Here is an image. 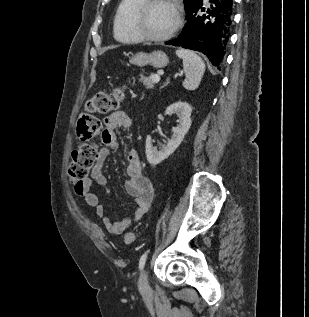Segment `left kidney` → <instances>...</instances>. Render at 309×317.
I'll list each match as a JSON object with an SVG mask.
<instances>
[{
	"label": "left kidney",
	"mask_w": 309,
	"mask_h": 317,
	"mask_svg": "<svg viewBox=\"0 0 309 317\" xmlns=\"http://www.w3.org/2000/svg\"><path fill=\"white\" fill-rule=\"evenodd\" d=\"M167 115L176 114L179 117V125L173 128V135L171 139L162 146L160 150H157L152 145L151 136L146 138V158L149 164L156 166L164 159L168 158L181 144L184 136L189 131L191 126V106L186 102L178 101L171 104L166 109Z\"/></svg>",
	"instance_id": "5707ae66"
}]
</instances>
